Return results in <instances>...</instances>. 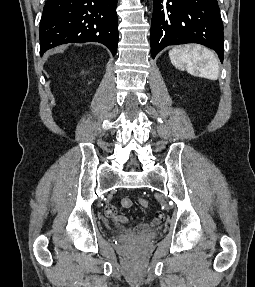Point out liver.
I'll use <instances>...</instances> for the list:
<instances>
[{"instance_id": "liver-1", "label": "liver", "mask_w": 255, "mask_h": 287, "mask_svg": "<svg viewBox=\"0 0 255 287\" xmlns=\"http://www.w3.org/2000/svg\"><path fill=\"white\" fill-rule=\"evenodd\" d=\"M66 46H59V48H54V50H52L53 54H60V52H63V50H65Z\"/></svg>"}]
</instances>
